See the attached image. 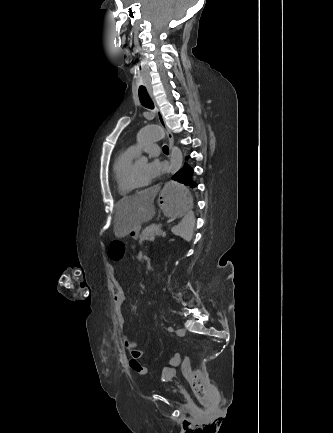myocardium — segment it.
Masks as SVG:
<instances>
[{
  "instance_id": "myocardium-1",
  "label": "myocardium",
  "mask_w": 333,
  "mask_h": 433,
  "mask_svg": "<svg viewBox=\"0 0 333 433\" xmlns=\"http://www.w3.org/2000/svg\"><path fill=\"white\" fill-rule=\"evenodd\" d=\"M125 183L131 188V189H142L148 186V183L143 184H137L134 180V162L132 161L129 167L127 168L126 174H125Z\"/></svg>"
}]
</instances>
